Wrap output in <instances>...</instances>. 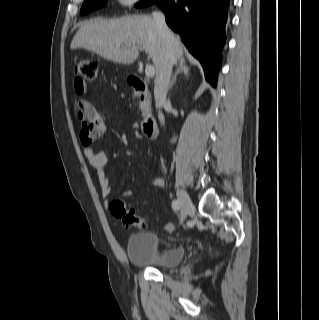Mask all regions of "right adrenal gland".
<instances>
[{"instance_id": "1", "label": "right adrenal gland", "mask_w": 319, "mask_h": 320, "mask_svg": "<svg viewBox=\"0 0 319 320\" xmlns=\"http://www.w3.org/2000/svg\"><path fill=\"white\" fill-rule=\"evenodd\" d=\"M189 71H190V68L186 65L185 59L181 58L177 65V71L174 73L171 79L169 88L171 89L173 87L174 83L176 82V77L179 73H184V75L189 76Z\"/></svg>"}]
</instances>
